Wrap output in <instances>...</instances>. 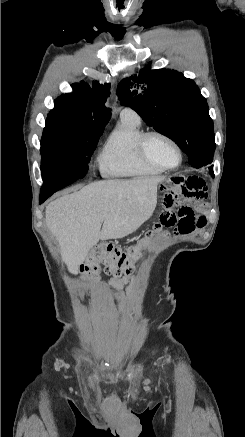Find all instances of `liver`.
I'll use <instances>...</instances> for the list:
<instances>
[{"label": "liver", "instance_id": "1", "mask_svg": "<svg viewBox=\"0 0 245 437\" xmlns=\"http://www.w3.org/2000/svg\"><path fill=\"white\" fill-rule=\"evenodd\" d=\"M163 179L94 182L49 203L46 225L58 240L69 271L77 273L99 240L126 237L146 222L156 208L157 186Z\"/></svg>", "mask_w": 245, "mask_h": 437}]
</instances>
